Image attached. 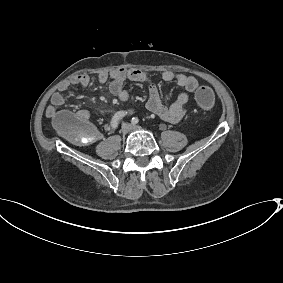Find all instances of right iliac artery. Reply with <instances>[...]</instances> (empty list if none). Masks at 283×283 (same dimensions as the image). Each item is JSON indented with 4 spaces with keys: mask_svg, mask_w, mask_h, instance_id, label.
<instances>
[{
    "mask_svg": "<svg viewBox=\"0 0 283 283\" xmlns=\"http://www.w3.org/2000/svg\"><path fill=\"white\" fill-rule=\"evenodd\" d=\"M127 113L124 111H119L114 114L111 120V126L112 128H117L119 121L126 115Z\"/></svg>",
    "mask_w": 283,
    "mask_h": 283,
    "instance_id": "82829eb1",
    "label": "right iliac artery"
}]
</instances>
